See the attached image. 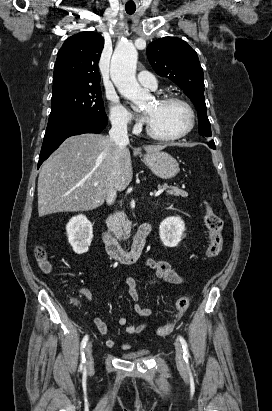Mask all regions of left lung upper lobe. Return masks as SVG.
<instances>
[{"label": "left lung upper lobe", "instance_id": "5c2ea615", "mask_svg": "<svg viewBox=\"0 0 272 411\" xmlns=\"http://www.w3.org/2000/svg\"><path fill=\"white\" fill-rule=\"evenodd\" d=\"M147 57L158 75L172 80L190 98L197 109L200 135L211 137L203 69L195 50L180 38L163 37L148 45Z\"/></svg>", "mask_w": 272, "mask_h": 411}]
</instances>
